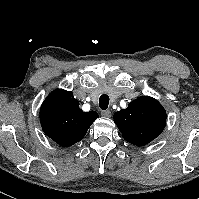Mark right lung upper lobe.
<instances>
[{
	"label": "right lung upper lobe",
	"mask_w": 199,
	"mask_h": 199,
	"mask_svg": "<svg viewBox=\"0 0 199 199\" xmlns=\"http://www.w3.org/2000/svg\"><path fill=\"white\" fill-rule=\"evenodd\" d=\"M97 118L95 111L83 112L73 93L64 89L50 93L40 108L44 133L62 147L82 140Z\"/></svg>",
	"instance_id": "1"
}]
</instances>
